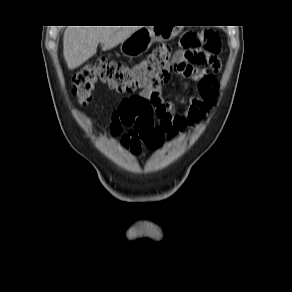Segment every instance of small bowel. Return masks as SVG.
I'll use <instances>...</instances> for the list:
<instances>
[{"mask_svg":"<svg viewBox=\"0 0 292 292\" xmlns=\"http://www.w3.org/2000/svg\"><path fill=\"white\" fill-rule=\"evenodd\" d=\"M220 49L219 44L208 57L195 64V68L185 74L195 81L197 86L182 111H177L171 102L161 98L155 126L162 134V145L165 142H174L180 135L204 121L216 104L219 83L215 74L220 67ZM121 145L133 156H139L144 145L140 131L134 126H129L121 137Z\"/></svg>","mask_w":292,"mask_h":292,"instance_id":"1","label":"small bowel"}]
</instances>
